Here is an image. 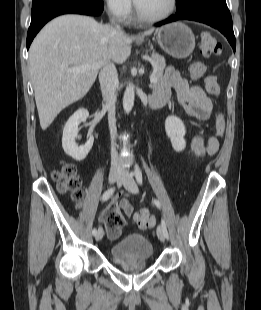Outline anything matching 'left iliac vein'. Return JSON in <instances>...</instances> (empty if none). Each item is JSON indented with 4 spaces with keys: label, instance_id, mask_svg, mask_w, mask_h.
Masks as SVG:
<instances>
[{
    "label": "left iliac vein",
    "instance_id": "obj_1",
    "mask_svg": "<svg viewBox=\"0 0 261 310\" xmlns=\"http://www.w3.org/2000/svg\"><path fill=\"white\" fill-rule=\"evenodd\" d=\"M119 182L122 183L126 190L130 193L136 194L138 192L137 184L133 179V173L130 170L125 169L121 172ZM157 236L162 242L166 240L163 228L160 225L157 227Z\"/></svg>",
    "mask_w": 261,
    "mask_h": 310
}]
</instances>
